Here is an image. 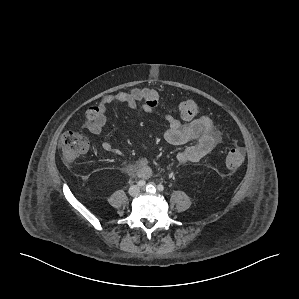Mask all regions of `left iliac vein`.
Instances as JSON below:
<instances>
[{"label": "left iliac vein", "mask_w": 299, "mask_h": 299, "mask_svg": "<svg viewBox=\"0 0 299 299\" xmlns=\"http://www.w3.org/2000/svg\"><path fill=\"white\" fill-rule=\"evenodd\" d=\"M151 185H152V186H151L152 190L155 191V190H156V189H155V185H154V184H151ZM145 189H146V188L144 187L143 190H145Z\"/></svg>", "instance_id": "4c4485c4"}]
</instances>
